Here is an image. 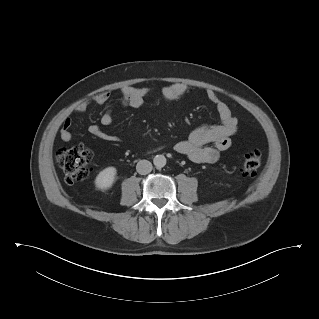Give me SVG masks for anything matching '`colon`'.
<instances>
[{
	"label": "colon",
	"mask_w": 319,
	"mask_h": 319,
	"mask_svg": "<svg viewBox=\"0 0 319 319\" xmlns=\"http://www.w3.org/2000/svg\"><path fill=\"white\" fill-rule=\"evenodd\" d=\"M58 166L62 169L68 182H80L85 180L91 172V153L84 145L63 148L56 156ZM262 164L261 153L252 150L244 155L242 172L251 174L256 172Z\"/></svg>",
	"instance_id": "colon-1"
}]
</instances>
